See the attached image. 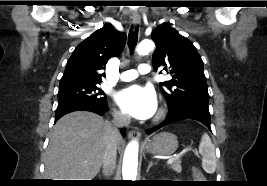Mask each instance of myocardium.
<instances>
[{"label": "myocardium", "mask_w": 267, "mask_h": 186, "mask_svg": "<svg viewBox=\"0 0 267 186\" xmlns=\"http://www.w3.org/2000/svg\"><path fill=\"white\" fill-rule=\"evenodd\" d=\"M164 114H165L164 109L163 108H160L157 111V113H156V115L154 117V122H157V121L161 120L163 118Z\"/></svg>", "instance_id": "1"}]
</instances>
